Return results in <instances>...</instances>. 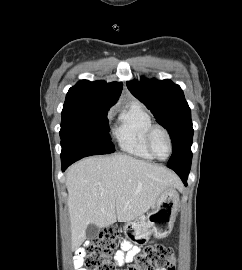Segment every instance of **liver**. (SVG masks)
Instances as JSON below:
<instances>
[{
	"label": "liver",
	"mask_w": 242,
	"mask_h": 270,
	"mask_svg": "<svg viewBox=\"0 0 242 270\" xmlns=\"http://www.w3.org/2000/svg\"><path fill=\"white\" fill-rule=\"evenodd\" d=\"M72 245L86 239L89 224L107 227L129 222L154 208L168 188H181L166 168L128 155L88 157L67 171Z\"/></svg>",
	"instance_id": "1"
}]
</instances>
